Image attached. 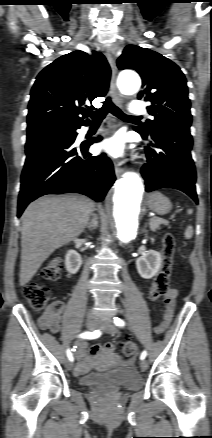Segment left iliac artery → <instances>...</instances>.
Masks as SVG:
<instances>
[{"label": "left iliac artery", "instance_id": "obj_1", "mask_svg": "<svg viewBox=\"0 0 212 438\" xmlns=\"http://www.w3.org/2000/svg\"><path fill=\"white\" fill-rule=\"evenodd\" d=\"M114 324L116 326L122 327V326L125 325V322L122 319L118 318V317H114ZM146 356H147V352L143 351L141 353V355H140V359L143 360V359H145Z\"/></svg>", "mask_w": 212, "mask_h": 438}]
</instances>
